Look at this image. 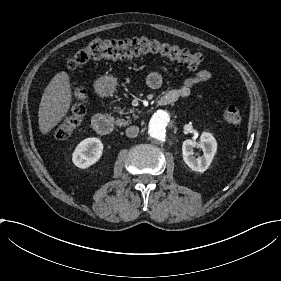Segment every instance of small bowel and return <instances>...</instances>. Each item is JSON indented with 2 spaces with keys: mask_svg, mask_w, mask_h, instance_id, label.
<instances>
[{
  "mask_svg": "<svg viewBox=\"0 0 281 281\" xmlns=\"http://www.w3.org/2000/svg\"><path fill=\"white\" fill-rule=\"evenodd\" d=\"M210 73L207 70L198 71L193 77L187 78L182 81L175 89L165 94L163 97L164 104H170L177 99H184L188 97L192 90L198 85L208 81ZM147 85L152 90H158L163 85V79L157 72H150L147 76ZM157 104L160 102L158 99L155 101Z\"/></svg>",
  "mask_w": 281,
  "mask_h": 281,
  "instance_id": "1",
  "label": "small bowel"
}]
</instances>
